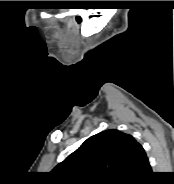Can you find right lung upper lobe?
<instances>
[{"label":"right lung upper lobe","instance_id":"obj_1","mask_svg":"<svg viewBox=\"0 0 174 184\" xmlns=\"http://www.w3.org/2000/svg\"><path fill=\"white\" fill-rule=\"evenodd\" d=\"M147 162L131 135L110 129L88 138L52 172L65 184H116L132 179Z\"/></svg>","mask_w":174,"mask_h":184}]
</instances>
